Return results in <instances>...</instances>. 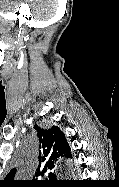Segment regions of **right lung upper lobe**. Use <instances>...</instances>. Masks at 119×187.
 I'll return each mask as SVG.
<instances>
[{
	"label": "right lung upper lobe",
	"instance_id": "right-lung-upper-lobe-1",
	"mask_svg": "<svg viewBox=\"0 0 119 187\" xmlns=\"http://www.w3.org/2000/svg\"><path fill=\"white\" fill-rule=\"evenodd\" d=\"M34 129L37 130L40 141L38 173L49 171L57 161L71 157L70 147L59 127L52 126L50 129H43L35 125ZM15 173L14 168L8 173L6 179L13 180Z\"/></svg>",
	"mask_w": 119,
	"mask_h": 187
}]
</instances>
